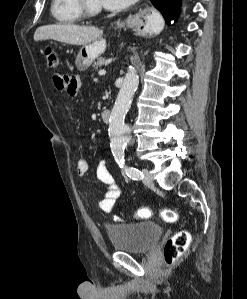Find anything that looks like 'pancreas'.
<instances>
[{
    "label": "pancreas",
    "mask_w": 247,
    "mask_h": 299,
    "mask_svg": "<svg viewBox=\"0 0 247 299\" xmlns=\"http://www.w3.org/2000/svg\"><path fill=\"white\" fill-rule=\"evenodd\" d=\"M105 64V58H99L93 65L95 70H98L100 67H102Z\"/></svg>",
    "instance_id": "pancreas-1"
}]
</instances>
